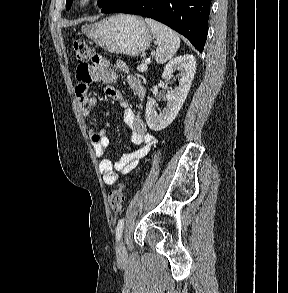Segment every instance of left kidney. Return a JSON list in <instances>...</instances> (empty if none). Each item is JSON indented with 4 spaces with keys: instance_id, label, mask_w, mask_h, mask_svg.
<instances>
[{
    "instance_id": "obj_1",
    "label": "left kidney",
    "mask_w": 288,
    "mask_h": 293,
    "mask_svg": "<svg viewBox=\"0 0 288 293\" xmlns=\"http://www.w3.org/2000/svg\"><path fill=\"white\" fill-rule=\"evenodd\" d=\"M180 77L174 89L167 91L166 106L158 114V105L151 99L146 104L145 118L148 127L154 131H160L170 125L178 115L192 84L196 71V61L192 55H183L172 59L164 68L162 79L170 80L174 72ZM176 82V80H175Z\"/></svg>"
}]
</instances>
